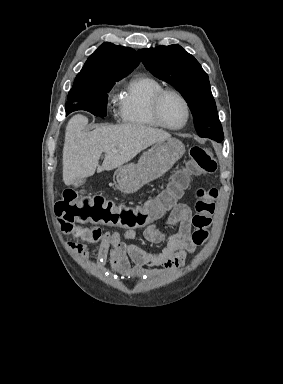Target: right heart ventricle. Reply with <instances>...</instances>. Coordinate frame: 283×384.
<instances>
[{"label": "right heart ventricle", "instance_id": "right-heart-ventricle-1", "mask_svg": "<svg viewBox=\"0 0 283 384\" xmlns=\"http://www.w3.org/2000/svg\"><path fill=\"white\" fill-rule=\"evenodd\" d=\"M163 89L155 79L144 74L130 76L123 87L118 113L123 123L145 130L157 129L152 120L149 106L154 96Z\"/></svg>", "mask_w": 283, "mask_h": 384}]
</instances>
